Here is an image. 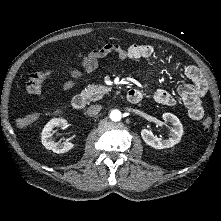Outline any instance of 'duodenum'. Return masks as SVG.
Here are the masks:
<instances>
[{
  "label": "duodenum",
  "instance_id": "1",
  "mask_svg": "<svg viewBox=\"0 0 221 221\" xmlns=\"http://www.w3.org/2000/svg\"><path fill=\"white\" fill-rule=\"evenodd\" d=\"M126 100L129 103L136 104L140 101V95L135 90H129L126 95ZM72 107L75 110H82L86 106V98L82 95H75L72 98Z\"/></svg>",
  "mask_w": 221,
  "mask_h": 221
}]
</instances>
